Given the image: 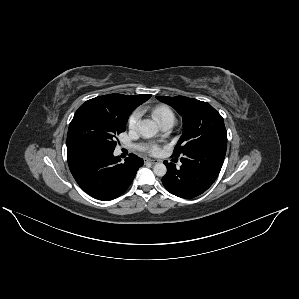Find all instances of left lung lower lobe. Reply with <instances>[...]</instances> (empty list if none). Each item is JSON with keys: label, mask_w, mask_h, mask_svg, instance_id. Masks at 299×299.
I'll return each instance as SVG.
<instances>
[{"label": "left lung lower lobe", "mask_w": 299, "mask_h": 299, "mask_svg": "<svg viewBox=\"0 0 299 299\" xmlns=\"http://www.w3.org/2000/svg\"><path fill=\"white\" fill-rule=\"evenodd\" d=\"M226 154V147H207L189 152L181 158L182 166L164 164L167 173L162 178L164 187L173 195L193 198L205 192L216 180Z\"/></svg>", "instance_id": "obj_1"}]
</instances>
